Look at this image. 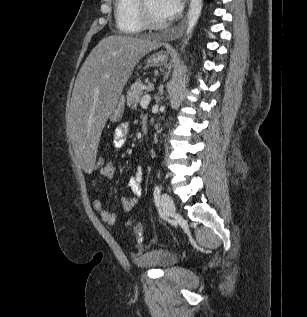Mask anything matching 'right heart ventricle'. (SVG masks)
Listing matches in <instances>:
<instances>
[{"mask_svg": "<svg viewBox=\"0 0 307 317\" xmlns=\"http://www.w3.org/2000/svg\"><path fill=\"white\" fill-rule=\"evenodd\" d=\"M114 7L116 26L121 33L134 34L143 29L138 0H115Z\"/></svg>", "mask_w": 307, "mask_h": 317, "instance_id": "obj_1", "label": "right heart ventricle"}]
</instances>
